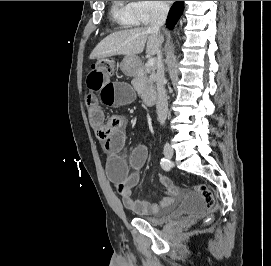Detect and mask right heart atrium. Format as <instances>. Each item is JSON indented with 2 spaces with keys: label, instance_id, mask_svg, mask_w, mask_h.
Listing matches in <instances>:
<instances>
[{
  "label": "right heart atrium",
  "instance_id": "d8ad5b80",
  "mask_svg": "<svg viewBox=\"0 0 271 266\" xmlns=\"http://www.w3.org/2000/svg\"><path fill=\"white\" fill-rule=\"evenodd\" d=\"M130 7L136 23L140 25L150 23L167 10L164 1H132Z\"/></svg>",
  "mask_w": 271,
  "mask_h": 266
}]
</instances>
